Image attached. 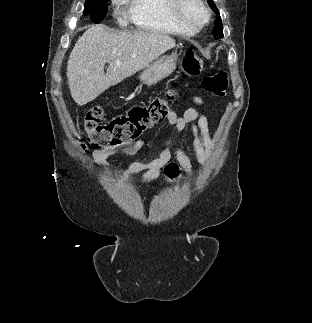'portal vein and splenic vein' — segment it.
Wrapping results in <instances>:
<instances>
[{"label": "portal vein and splenic vein", "instance_id": "obj_1", "mask_svg": "<svg viewBox=\"0 0 312 323\" xmlns=\"http://www.w3.org/2000/svg\"><path fill=\"white\" fill-rule=\"evenodd\" d=\"M116 64H120L119 60H116Z\"/></svg>", "mask_w": 312, "mask_h": 323}]
</instances>
